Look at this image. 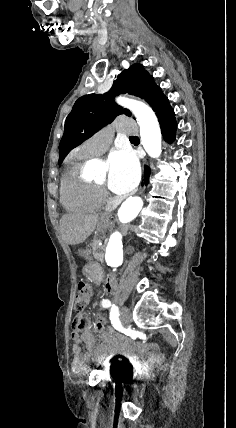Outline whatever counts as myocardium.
<instances>
[{"instance_id":"1","label":"myocardium","mask_w":236,"mask_h":428,"mask_svg":"<svg viewBox=\"0 0 236 428\" xmlns=\"http://www.w3.org/2000/svg\"><path fill=\"white\" fill-rule=\"evenodd\" d=\"M95 184L98 187V189L100 190L104 201H111L113 199V195L110 193V191L108 190V188L105 184H101L98 182H96Z\"/></svg>"}]
</instances>
